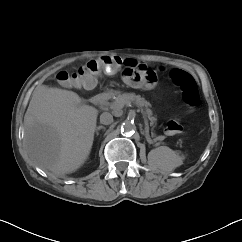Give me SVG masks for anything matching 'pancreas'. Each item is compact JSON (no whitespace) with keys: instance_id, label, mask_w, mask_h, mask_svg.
Masks as SVG:
<instances>
[{"instance_id":"cf45deb5","label":"pancreas","mask_w":242,"mask_h":242,"mask_svg":"<svg viewBox=\"0 0 242 242\" xmlns=\"http://www.w3.org/2000/svg\"><path fill=\"white\" fill-rule=\"evenodd\" d=\"M134 103L138 107H145V114L150 120V125L153 126L156 123L157 118L153 116L152 110L149 108L151 104L139 95L134 93H123L115 96L114 101L111 103V107L115 110H121L125 105ZM156 140H162V137H156Z\"/></svg>"}]
</instances>
